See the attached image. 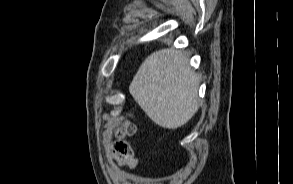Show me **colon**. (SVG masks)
<instances>
[{"label":"colon","instance_id":"1","mask_svg":"<svg viewBox=\"0 0 293 184\" xmlns=\"http://www.w3.org/2000/svg\"><path fill=\"white\" fill-rule=\"evenodd\" d=\"M135 132V124L126 119L116 131V140L112 143L110 152L124 162L133 163L136 161L131 146L124 140Z\"/></svg>","mask_w":293,"mask_h":184}]
</instances>
